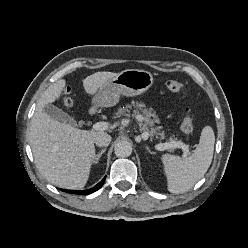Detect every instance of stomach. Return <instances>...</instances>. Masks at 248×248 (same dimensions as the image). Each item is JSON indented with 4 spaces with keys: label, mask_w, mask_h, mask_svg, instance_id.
Here are the masks:
<instances>
[{
    "label": "stomach",
    "mask_w": 248,
    "mask_h": 248,
    "mask_svg": "<svg viewBox=\"0 0 248 248\" xmlns=\"http://www.w3.org/2000/svg\"><path fill=\"white\" fill-rule=\"evenodd\" d=\"M154 79L150 72L126 69L109 79L92 98L94 107H111L119 102L120 95L137 96L146 92Z\"/></svg>",
    "instance_id": "1"
}]
</instances>
